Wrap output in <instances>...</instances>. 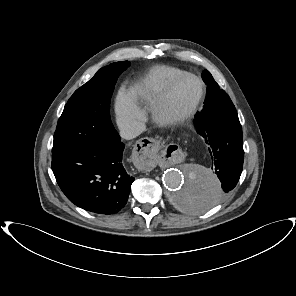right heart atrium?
<instances>
[{"instance_id": "d8ad5b80", "label": "right heart atrium", "mask_w": 296, "mask_h": 296, "mask_svg": "<svg viewBox=\"0 0 296 296\" xmlns=\"http://www.w3.org/2000/svg\"><path fill=\"white\" fill-rule=\"evenodd\" d=\"M118 123L128 129L133 123L142 119V113L125 94H120L116 102Z\"/></svg>"}]
</instances>
